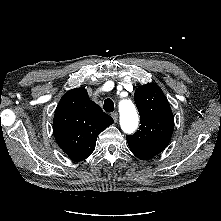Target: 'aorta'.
<instances>
[{
  "mask_svg": "<svg viewBox=\"0 0 221 221\" xmlns=\"http://www.w3.org/2000/svg\"><path fill=\"white\" fill-rule=\"evenodd\" d=\"M120 126L128 134L133 133L139 124V116L134 103L130 99L119 102Z\"/></svg>",
  "mask_w": 221,
  "mask_h": 221,
  "instance_id": "1",
  "label": "aorta"
}]
</instances>
